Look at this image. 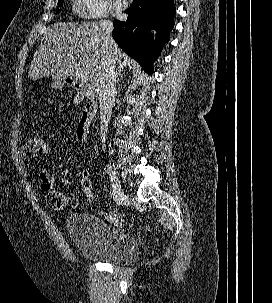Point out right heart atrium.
<instances>
[{"instance_id": "d8ad5b80", "label": "right heart atrium", "mask_w": 272, "mask_h": 303, "mask_svg": "<svg viewBox=\"0 0 272 303\" xmlns=\"http://www.w3.org/2000/svg\"><path fill=\"white\" fill-rule=\"evenodd\" d=\"M78 8L85 18L102 19L109 14L110 0H78Z\"/></svg>"}]
</instances>
